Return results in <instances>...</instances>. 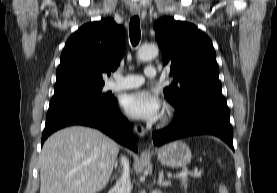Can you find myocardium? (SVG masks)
I'll use <instances>...</instances> for the list:
<instances>
[{
    "mask_svg": "<svg viewBox=\"0 0 277 193\" xmlns=\"http://www.w3.org/2000/svg\"><path fill=\"white\" fill-rule=\"evenodd\" d=\"M172 114V109L170 106H166L165 108V119H167Z\"/></svg>",
    "mask_w": 277,
    "mask_h": 193,
    "instance_id": "myocardium-1",
    "label": "myocardium"
}]
</instances>
